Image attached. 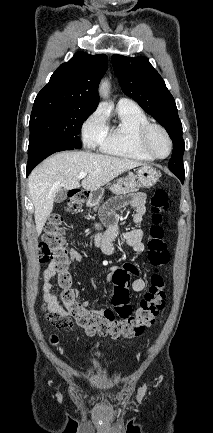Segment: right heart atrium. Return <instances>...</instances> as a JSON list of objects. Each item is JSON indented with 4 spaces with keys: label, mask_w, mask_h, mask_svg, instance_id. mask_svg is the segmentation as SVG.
Here are the masks:
<instances>
[{
    "label": "right heart atrium",
    "mask_w": 213,
    "mask_h": 433,
    "mask_svg": "<svg viewBox=\"0 0 213 433\" xmlns=\"http://www.w3.org/2000/svg\"><path fill=\"white\" fill-rule=\"evenodd\" d=\"M107 129L106 116L102 109L93 111L83 122L81 128L82 139L86 147L99 146Z\"/></svg>",
    "instance_id": "1"
}]
</instances>
